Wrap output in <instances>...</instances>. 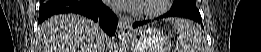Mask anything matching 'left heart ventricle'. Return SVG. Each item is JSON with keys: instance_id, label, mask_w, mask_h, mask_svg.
Returning a JSON list of instances; mask_svg holds the SVG:
<instances>
[{"instance_id": "b2bd125f", "label": "left heart ventricle", "mask_w": 261, "mask_h": 52, "mask_svg": "<svg viewBox=\"0 0 261 52\" xmlns=\"http://www.w3.org/2000/svg\"><path fill=\"white\" fill-rule=\"evenodd\" d=\"M147 5H154L155 4V1H145Z\"/></svg>"}]
</instances>
